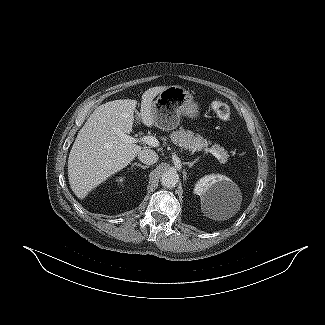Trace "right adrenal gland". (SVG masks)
<instances>
[{
    "label": "right adrenal gland",
    "instance_id": "right-adrenal-gland-1",
    "mask_svg": "<svg viewBox=\"0 0 325 325\" xmlns=\"http://www.w3.org/2000/svg\"><path fill=\"white\" fill-rule=\"evenodd\" d=\"M133 166H138V167H141L142 169L148 168V166L142 165L140 163H134Z\"/></svg>",
    "mask_w": 325,
    "mask_h": 325
}]
</instances>
